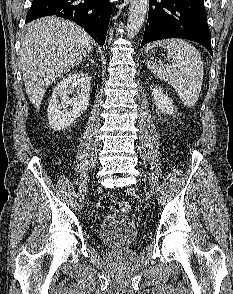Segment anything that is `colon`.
<instances>
[{"label": "colon", "instance_id": "5ec220e1", "mask_svg": "<svg viewBox=\"0 0 233 294\" xmlns=\"http://www.w3.org/2000/svg\"><path fill=\"white\" fill-rule=\"evenodd\" d=\"M112 209L115 213L123 214V213H127L130 211L131 205H130V203H128L126 201H120V202H116L113 205Z\"/></svg>", "mask_w": 233, "mask_h": 294}]
</instances>
